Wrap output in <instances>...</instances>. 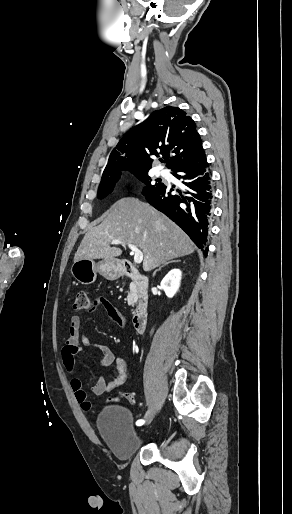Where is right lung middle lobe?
<instances>
[{"instance_id": "right-lung-middle-lobe-1", "label": "right lung middle lobe", "mask_w": 292, "mask_h": 514, "mask_svg": "<svg viewBox=\"0 0 292 514\" xmlns=\"http://www.w3.org/2000/svg\"><path fill=\"white\" fill-rule=\"evenodd\" d=\"M135 176L142 183H144L146 185V187H144V189H143V194H146L162 185V183H160V182L156 183V184H152L151 183L152 179L148 176V172L137 174ZM119 178L120 177L102 180L100 183V186H99L97 198L103 199L104 197L108 196L113 191V188H114L116 182L119 180Z\"/></svg>"}]
</instances>
